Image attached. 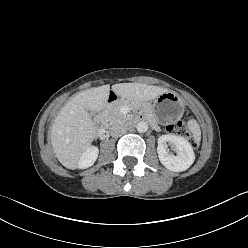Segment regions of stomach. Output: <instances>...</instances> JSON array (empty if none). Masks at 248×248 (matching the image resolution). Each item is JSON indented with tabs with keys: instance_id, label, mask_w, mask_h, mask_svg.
<instances>
[{
	"instance_id": "obj_1",
	"label": "stomach",
	"mask_w": 248,
	"mask_h": 248,
	"mask_svg": "<svg viewBox=\"0 0 248 248\" xmlns=\"http://www.w3.org/2000/svg\"><path fill=\"white\" fill-rule=\"evenodd\" d=\"M154 114L160 123H172L180 118L184 112V103L181 97L174 92L160 94L153 104L146 108Z\"/></svg>"
}]
</instances>
